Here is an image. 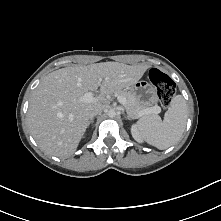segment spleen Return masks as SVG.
I'll return each instance as SVG.
<instances>
[{
  "instance_id": "spleen-1",
  "label": "spleen",
  "mask_w": 221,
  "mask_h": 221,
  "mask_svg": "<svg viewBox=\"0 0 221 221\" xmlns=\"http://www.w3.org/2000/svg\"><path fill=\"white\" fill-rule=\"evenodd\" d=\"M188 118V108L182 95L172 98L163 121L159 115L150 114L142 117L137 128L141 137L160 150L177 143L183 135Z\"/></svg>"
}]
</instances>
